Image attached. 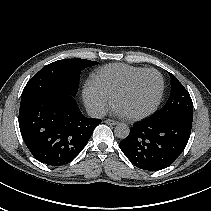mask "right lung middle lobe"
I'll return each mask as SVG.
<instances>
[{"label":"right lung middle lobe","instance_id":"dd1d6c3e","mask_svg":"<svg viewBox=\"0 0 211 211\" xmlns=\"http://www.w3.org/2000/svg\"><path fill=\"white\" fill-rule=\"evenodd\" d=\"M97 63L85 59H64L46 65L26 84L20 105L53 94L75 96L80 72Z\"/></svg>","mask_w":211,"mask_h":211}]
</instances>
